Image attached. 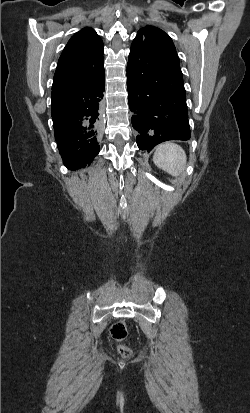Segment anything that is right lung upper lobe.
<instances>
[{
	"label": "right lung upper lobe",
	"mask_w": 250,
	"mask_h": 413,
	"mask_svg": "<svg viewBox=\"0 0 250 413\" xmlns=\"http://www.w3.org/2000/svg\"><path fill=\"white\" fill-rule=\"evenodd\" d=\"M104 45L91 28L76 33L64 48L54 74L52 89L87 83L104 70Z\"/></svg>",
	"instance_id": "cb5924a9"
}]
</instances>
